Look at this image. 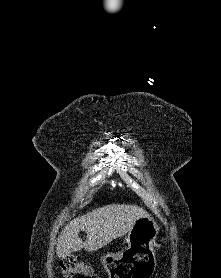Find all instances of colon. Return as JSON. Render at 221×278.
<instances>
[{
  "label": "colon",
  "instance_id": "obj_1",
  "mask_svg": "<svg viewBox=\"0 0 221 278\" xmlns=\"http://www.w3.org/2000/svg\"><path fill=\"white\" fill-rule=\"evenodd\" d=\"M60 268L65 278H99L87 264L74 257L63 258Z\"/></svg>",
  "mask_w": 221,
  "mask_h": 278
}]
</instances>
